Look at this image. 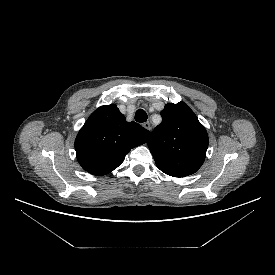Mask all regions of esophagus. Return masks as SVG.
Instances as JSON below:
<instances>
[{"label": "esophagus", "mask_w": 275, "mask_h": 275, "mask_svg": "<svg viewBox=\"0 0 275 275\" xmlns=\"http://www.w3.org/2000/svg\"><path fill=\"white\" fill-rule=\"evenodd\" d=\"M143 127L147 130H150L151 129V126H150V123L149 122H145L143 123Z\"/></svg>", "instance_id": "34e87169"}]
</instances>
